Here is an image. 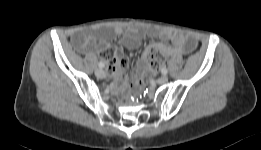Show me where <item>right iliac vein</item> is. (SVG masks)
I'll list each match as a JSON object with an SVG mask.
<instances>
[{
	"label": "right iliac vein",
	"instance_id": "obj_1",
	"mask_svg": "<svg viewBox=\"0 0 261 150\" xmlns=\"http://www.w3.org/2000/svg\"><path fill=\"white\" fill-rule=\"evenodd\" d=\"M95 75H96L98 78H105L106 73H105V71L102 70V69H97V70L95 71Z\"/></svg>",
	"mask_w": 261,
	"mask_h": 150
}]
</instances>
